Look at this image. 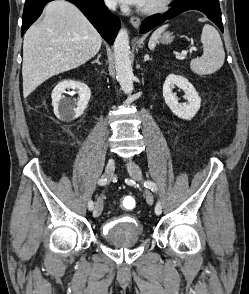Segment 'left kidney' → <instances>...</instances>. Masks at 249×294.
<instances>
[{
    "instance_id": "obj_1",
    "label": "left kidney",
    "mask_w": 249,
    "mask_h": 294,
    "mask_svg": "<svg viewBox=\"0 0 249 294\" xmlns=\"http://www.w3.org/2000/svg\"><path fill=\"white\" fill-rule=\"evenodd\" d=\"M175 85L184 91L187 103L178 102V97L172 92ZM163 97L173 114L185 120H191L200 109L201 98L196 89L185 77L180 75L169 74L166 77L163 84Z\"/></svg>"
}]
</instances>
